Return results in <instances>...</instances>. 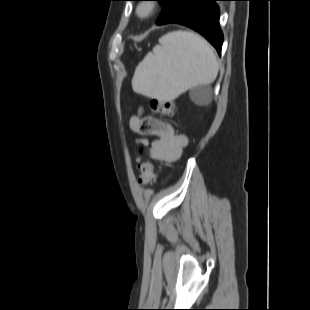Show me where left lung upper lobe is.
<instances>
[{
    "mask_svg": "<svg viewBox=\"0 0 310 310\" xmlns=\"http://www.w3.org/2000/svg\"><path fill=\"white\" fill-rule=\"evenodd\" d=\"M140 1V0H139ZM159 1L163 5V11L159 17L157 24L163 25L173 21L183 8L186 0H151Z\"/></svg>",
    "mask_w": 310,
    "mask_h": 310,
    "instance_id": "left-lung-upper-lobe-1",
    "label": "left lung upper lobe"
}]
</instances>
